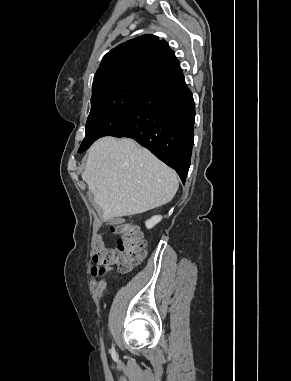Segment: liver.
<instances>
[{
	"instance_id": "obj_1",
	"label": "liver",
	"mask_w": 291,
	"mask_h": 381,
	"mask_svg": "<svg viewBox=\"0 0 291 381\" xmlns=\"http://www.w3.org/2000/svg\"><path fill=\"white\" fill-rule=\"evenodd\" d=\"M82 179L102 210V220L140 214L170 202L176 172L129 138L103 137L90 148Z\"/></svg>"
}]
</instances>
